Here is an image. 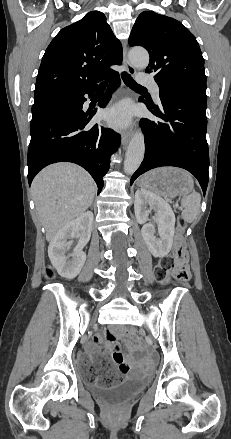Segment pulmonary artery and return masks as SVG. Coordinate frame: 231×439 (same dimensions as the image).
<instances>
[{"mask_svg":"<svg viewBox=\"0 0 231 439\" xmlns=\"http://www.w3.org/2000/svg\"><path fill=\"white\" fill-rule=\"evenodd\" d=\"M138 82L142 85L148 86L152 89L156 99H159V85L152 79L150 75L140 74L137 76Z\"/></svg>","mask_w":231,"mask_h":439,"instance_id":"1","label":"pulmonary artery"}]
</instances>
